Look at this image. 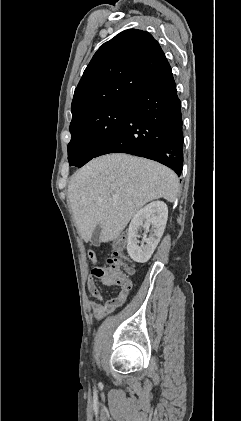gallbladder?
I'll return each instance as SVG.
<instances>
[{
    "label": "gallbladder",
    "mask_w": 241,
    "mask_h": 421,
    "mask_svg": "<svg viewBox=\"0 0 241 421\" xmlns=\"http://www.w3.org/2000/svg\"><path fill=\"white\" fill-rule=\"evenodd\" d=\"M101 231H102V228H101V226L98 224V225L95 227V229H94V231H93V233H92L91 239H90V242H91L93 245H95V246H99V245H100V235H101Z\"/></svg>",
    "instance_id": "1"
}]
</instances>
